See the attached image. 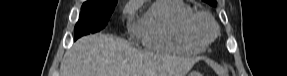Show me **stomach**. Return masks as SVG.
Wrapping results in <instances>:
<instances>
[{"instance_id": "1", "label": "stomach", "mask_w": 287, "mask_h": 76, "mask_svg": "<svg viewBox=\"0 0 287 76\" xmlns=\"http://www.w3.org/2000/svg\"><path fill=\"white\" fill-rule=\"evenodd\" d=\"M189 76H201L198 72H191Z\"/></svg>"}]
</instances>
